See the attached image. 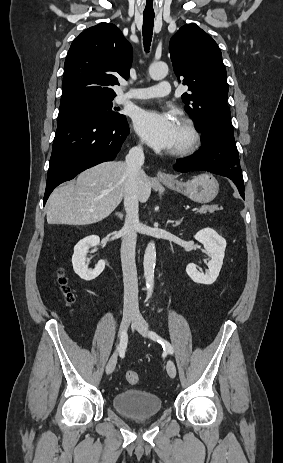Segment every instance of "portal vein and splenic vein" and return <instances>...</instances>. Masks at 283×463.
I'll return each instance as SVG.
<instances>
[{"instance_id":"portal-vein-and-splenic-vein-1","label":"portal vein and splenic vein","mask_w":283,"mask_h":463,"mask_svg":"<svg viewBox=\"0 0 283 463\" xmlns=\"http://www.w3.org/2000/svg\"><path fill=\"white\" fill-rule=\"evenodd\" d=\"M195 210H197V209L196 208L192 209V211H195Z\"/></svg>"}]
</instances>
